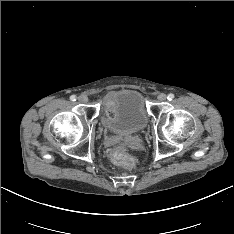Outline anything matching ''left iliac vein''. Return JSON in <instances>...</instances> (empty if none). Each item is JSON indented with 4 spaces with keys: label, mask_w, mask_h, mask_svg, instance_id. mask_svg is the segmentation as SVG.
Masks as SVG:
<instances>
[{
    "label": "left iliac vein",
    "mask_w": 234,
    "mask_h": 234,
    "mask_svg": "<svg viewBox=\"0 0 234 234\" xmlns=\"http://www.w3.org/2000/svg\"><path fill=\"white\" fill-rule=\"evenodd\" d=\"M157 98L159 101H165L167 99V96L164 93H160Z\"/></svg>",
    "instance_id": "obj_1"
}]
</instances>
